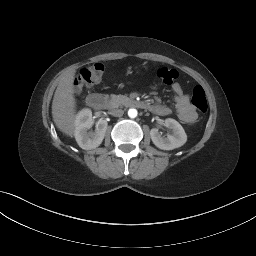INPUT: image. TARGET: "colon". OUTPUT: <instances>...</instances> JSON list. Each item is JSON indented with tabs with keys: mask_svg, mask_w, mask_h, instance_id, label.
<instances>
[{
	"mask_svg": "<svg viewBox=\"0 0 256 256\" xmlns=\"http://www.w3.org/2000/svg\"><path fill=\"white\" fill-rule=\"evenodd\" d=\"M103 73L104 65L99 62L81 69L74 80L77 90L91 86L93 83L99 81ZM158 78L164 84H172L178 78V72L172 68L161 67L158 70ZM191 101L199 112L205 113L207 111L208 104L202 86L196 85L193 88Z\"/></svg>",
	"mask_w": 256,
	"mask_h": 256,
	"instance_id": "colon-1",
	"label": "colon"
}]
</instances>
